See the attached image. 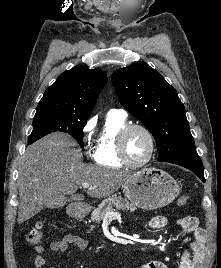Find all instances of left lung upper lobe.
Here are the masks:
<instances>
[{
	"mask_svg": "<svg viewBox=\"0 0 221 268\" xmlns=\"http://www.w3.org/2000/svg\"><path fill=\"white\" fill-rule=\"evenodd\" d=\"M111 79L120 103L155 138L158 161L195 151L184 105L155 69L137 62L115 71Z\"/></svg>",
	"mask_w": 221,
	"mask_h": 268,
	"instance_id": "1",
	"label": "left lung upper lobe"
}]
</instances>
